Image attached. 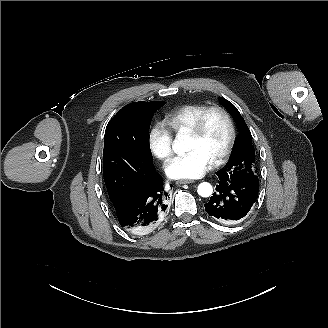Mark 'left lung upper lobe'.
<instances>
[{"label":"left lung upper lobe","instance_id":"1","mask_svg":"<svg viewBox=\"0 0 328 328\" xmlns=\"http://www.w3.org/2000/svg\"><path fill=\"white\" fill-rule=\"evenodd\" d=\"M222 105L232 115L240 128L241 134L234 145L226 166L219 171L224 176L244 177L258 179L255 151L252 146V135L237 108L228 100L221 98Z\"/></svg>","mask_w":328,"mask_h":328}]
</instances>
